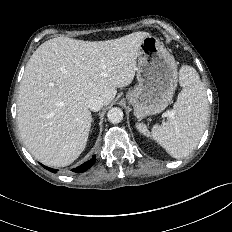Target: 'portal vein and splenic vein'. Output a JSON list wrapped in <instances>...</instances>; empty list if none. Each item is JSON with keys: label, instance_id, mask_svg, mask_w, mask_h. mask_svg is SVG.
<instances>
[{"label": "portal vein and splenic vein", "instance_id": "1", "mask_svg": "<svg viewBox=\"0 0 232 232\" xmlns=\"http://www.w3.org/2000/svg\"><path fill=\"white\" fill-rule=\"evenodd\" d=\"M168 115H169L170 117H172V116H173V114H172V113H169Z\"/></svg>", "mask_w": 232, "mask_h": 232}]
</instances>
